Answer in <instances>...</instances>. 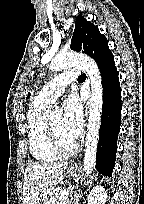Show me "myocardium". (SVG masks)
Masks as SVG:
<instances>
[{
    "label": "myocardium",
    "instance_id": "obj_1",
    "mask_svg": "<svg viewBox=\"0 0 144 204\" xmlns=\"http://www.w3.org/2000/svg\"><path fill=\"white\" fill-rule=\"evenodd\" d=\"M47 131H48V135L50 138V142H51L54 150L59 155L68 156V155L74 154L77 151L78 143L74 142L70 146L64 145L62 143V141L60 140L58 134L54 130L53 126L51 125V122H47Z\"/></svg>",
    "mask_w": 144,
    "mask_h": 204
}]
</instances>
